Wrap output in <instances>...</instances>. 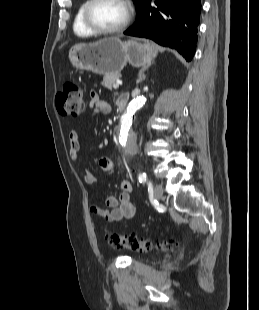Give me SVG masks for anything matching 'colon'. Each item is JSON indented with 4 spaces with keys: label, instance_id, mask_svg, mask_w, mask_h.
Instances as JSON below:
<instances>
[{
    "label": "colon",
    "instance_id": "5ec220e1",
    "mask_svg": "<svg viewBox=\"0 0 259 310\" xmlns=\"http://www.w3.org/2000/svg\"><path fill=\"white\" fill-rule=\"evenodd\" d=\"M58 109L65 115L79 116L84 110L83 92L75 82H67L56 95ZM107 242L118 249H130L134 252L145 253L152 250H165L173 247L169 240L150 241L136 235H122L115 232L106 234Z\"/></svg>",
    "mask_w": 259,
    "mask_h": 310
}]
</instances>
